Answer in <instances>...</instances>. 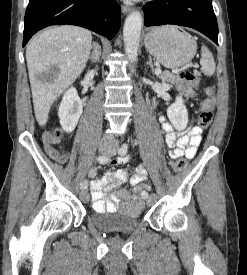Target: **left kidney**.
Wrapping results in <instances>:
<instances>
[{
	"label": "left kidney",
	"mask_w": 247,
	"mask_h": 275,
	"mask_svg": "<svg viewBox=\"0 0 247 275\" xmlns=\"http://www.w3.org/2000/svg\"><path fill=\"white\" fill-rule=\"evenodd\" d=\"M167 116L176 130L182 131L187 127L188 111L181 96H177L175 103L168 107Z\"/></svg>",
	"instance_id": "left-kidney-1"
}]
</instances>
